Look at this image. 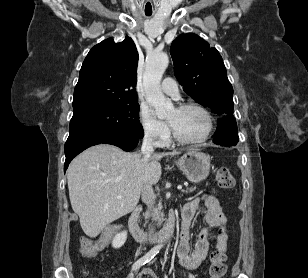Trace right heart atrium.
<instances>
[{
  "instance_id": "right-heart-atrium-1",
  "label": "right heart atrium",
  "mask_w": 308,
  "mask_h": 278,
  "mask_svg": "<svg viewBox=\"0 0 308 278\" xmlns=\"http://www.w3.org/2000/svg\"><path fill=\"white\" fill-rule=\"evenodd\" d=\"M139 122L144 138L156 146H164L169 142L170 130L162 121L153 116L151 111L142 107L139 111Z\"/></svg>"
}]
</instances>
